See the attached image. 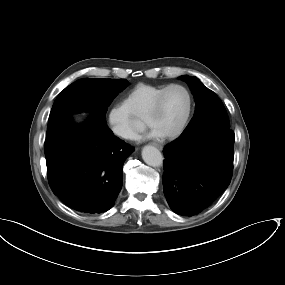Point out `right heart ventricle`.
Returning <instances> with one entry per match:
<instances>
[{"instance_id": "e07e8e85", "label": "right heart ventricle", "mask_w": 285, "mask_h": 285, "mask_svg": "<svg viewBox=\"0 0 285 285\" xmlns=\"http://www.w3.org/2000/svg\"><path fill=\"white\" fill-rule=\"evenodd\" d=\"M165 86L139 83L125 95L123 104L133 117L144 118L154 99Z\"/></svg>"}]
</instances>
